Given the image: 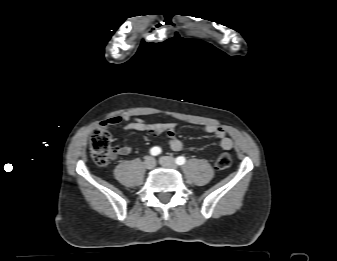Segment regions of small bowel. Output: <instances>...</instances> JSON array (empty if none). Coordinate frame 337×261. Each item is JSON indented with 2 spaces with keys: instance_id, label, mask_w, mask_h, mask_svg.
Segmentation results:
<instances>
[{
  "instance_id": "1",
  "label": "small bowel",
  "mask_w": 337,
  "mask_h": 261,
  "mask_svg": "<svg viewBox=\"0 0 337 261\" xmlns=\"http://www.w3.org/2000/svg\"><path fill=\"white\" fill-rule=\"evenodd\" d=\"M124 121V129L128 131L147 132L153 136H163L168 140L172 150L181 151L185 148V143L176 136V124L172 122L148 123L144 120L130 117L122 118L119 116L110 117L100 123V127L105 129L109 126H116ZM206 133L213 135L219 140L222 149L230 150L233 147V141L228 137L226 130L217 125L208 124L204 127ZM131 152V147L123 145L117 147V153L120 155H128Z\"/></svg>"
}]
</instances>
